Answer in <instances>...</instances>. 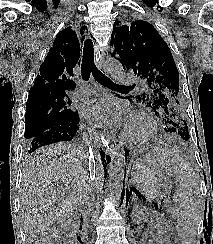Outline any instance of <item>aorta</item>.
I'll return each instance as SVG.
<instances>
[{
	"label": "aorta",
	"mask_w": 213,
	"mask_h": 244,
	"mask_svg": "<svg viewBox=\"0 0 213 244\" xmlns=\"http://www.w3.org/2000/svg\"><path fill=\"white\" fill-rule=\"evenodd\" d=\"M105 69L107 72L118 78L123 73L122 64L113 58H109L105 62ZM125 151L123 142L120 141L112 154L110 173H109V191L115 202L118 204L120 202L121 193L123 190L124 176H125Z\"/></svg>",
	"instance_id": "obj_1"
}]
</instances>
